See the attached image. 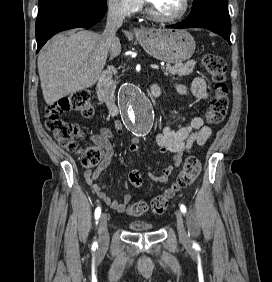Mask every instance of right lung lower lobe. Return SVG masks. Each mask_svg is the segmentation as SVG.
<instances>
[{
	"label": "right lung lower lobe",
	"instance_id": "1",
	"mask_svg": "<svg viewBox=\"0 0 272 282\" xmlns=\"http://www.w3.org/2000/svg\"><path fill=\"white\" fill-rule=\"evenodd\" d=\"M107 11V5L93 0H50L38 10L37 52L53 35L76 27L90 28Z\"/></svg>",
	"mask_w": 272,
	"mask_h": 282
}]
</instances>
